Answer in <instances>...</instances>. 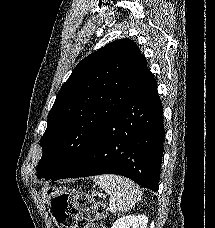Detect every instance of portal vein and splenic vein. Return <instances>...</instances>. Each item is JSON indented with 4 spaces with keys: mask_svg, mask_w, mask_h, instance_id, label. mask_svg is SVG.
<instances>
[{
    "mask_svg": "<svg viewBox=\"0 0 215 228\" xmlns=\"http://www.w3.org/2000/svg\"><path fill=\"white\" fill-rule=\"evenodd\" d=\"M109 210H110V212H115L114 208H111V206H110Z\"/></svg>",
    "mask_w": 215,
    "mask_h": 228,
    "instance_id": "1",
    "label": "portal vein and splenic vein"
}]
</instances>
